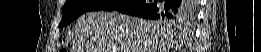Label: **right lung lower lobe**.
I'll use <instances>...</instances> for the list:
<instances>
[{
    "label": "right lung lower lobe",
    "mask_w": 261,
    "mask_h": 52,
    "mask_svg": "<svg viewBox=\"0 0 261 52\" xmlns=\"http://www.w3.org/2000/svg\"><path fill=\"white\" fill-rule=\"evenodd\" d=\"M102 10H116L132 16L147 19L158 17L175 18L183 17L187 11L185 1L182 0H127L118 1Z\"/></svg>",
    "instance_id": "1"
}]
</instances>
